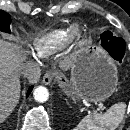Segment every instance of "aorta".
I'll return each mask as SVG.
<instances>
[{
	"mask_svg": "<svg viewBox=\"0 0 130 130\" xmlns=\"http://www.w3.org/2000/svg\"><path fill=\"white\" fill-rule=\"evenodd\" d=\"M34 98L38 102H45L49 98V92L46 87L39 86L34 90Z\"/></svg>",
	"mask_w": 130,
	"mask_h": 130,
	"instance_id": "762f6f07",
	"label": "aorta"
}]
</instances>
